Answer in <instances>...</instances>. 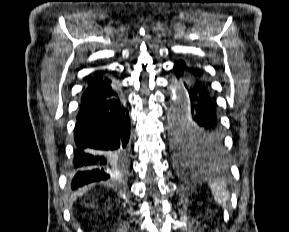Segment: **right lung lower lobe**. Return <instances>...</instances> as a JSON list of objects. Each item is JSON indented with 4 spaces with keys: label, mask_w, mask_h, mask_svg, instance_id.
<instances>
[{
    "label": "right lung lower lobe",
    "mask_w": 289,
    "mask_h": 232,
    "mask_svg": "<svg viewBox=\"0 0 289 232\" xmlns=\"http://www.w3.org/2000/svg\"><path fill=\"white\" fill-rule=\"evenodd\" d=\"M120 94L81 102L74 137L76 150L72 188L106 180L107 171L123 162L130 137V120Z\"/></svg>",
    "instance_id": "right-lung-lower-lobe-1"
}]
</instances>
